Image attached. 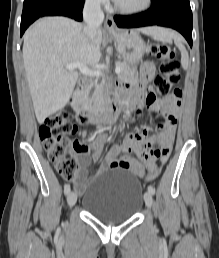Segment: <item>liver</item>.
Segmentation results:
<instances>
[{"label":"liver","instance_id":"obj_1","mask_svg":"<svg viewBox=\"0 0 219 258\" xmlns=\"http://www.w3.org/2000/svg\"><path fill=\"white\" fill-rule=\"evenodd\" d=\"M151 28H142L149 34ZM102 31L94 40L84 26L65 17H45L24 34L23 62L36 118L46 117L65 107L77 83V70L66 65L83 63L95 66L101 59Z\"/></svg>","mask_w":219,"mask_h":258}]
</instances>
